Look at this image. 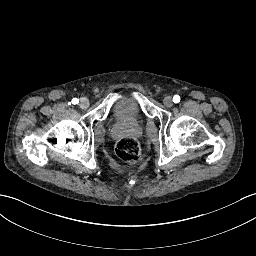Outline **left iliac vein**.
<instances>
[{
    "label": "left iliac vein",
    "mask_w": 256,
    "mask_h": 256,
    "mask_svg": "<svg viewBox=\"0 0 256 256\" xmlns=\"http://www.w3.org/2000/svg\"><path fill=\"white\" fill-rule=\"evenodd\" d=\"M163 103L166 107H171L173 105V99L171 96H166L164 99H163Z\"/></svg>",
    "instance_id": "1"
}]
</instances>
